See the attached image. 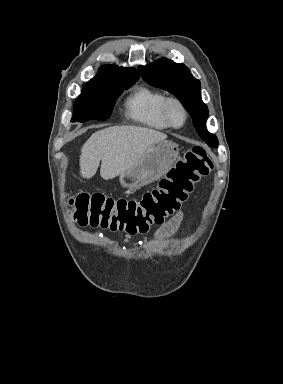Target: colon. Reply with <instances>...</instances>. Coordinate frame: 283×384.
<instances>
[{
    "label": "colon",
    "mask_w": 283,
    "mask_h": 384,
    "mask_svg": "<svg viewBox=\"0 0 283 384\" xmlns=\"http://www.w3.org/2000/svg\"><path fill=\"white\" fill-rule=\"evenodd\" d=\"M213 170L205 149L194 146L159 182L139 199H115L100 193H79L70 198L72 215L82 226L90 225L134 235L145 233L180 209L194 185Z\"/></svg>",
    "instance_id": "colon-1"
}]
</instances>
